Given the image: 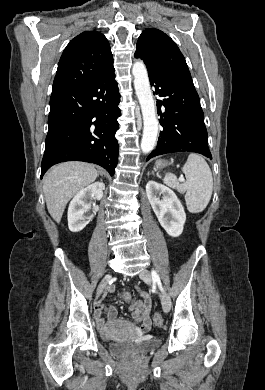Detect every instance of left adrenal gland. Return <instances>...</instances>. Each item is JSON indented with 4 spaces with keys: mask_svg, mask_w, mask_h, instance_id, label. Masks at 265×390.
<instances>
[{
    "mask_svg": "<svg viewBox=\"0 0 265 390\" xmlns=\"http://www.w3.org/2000/svg\"><path fill=\"white\" fill-rule=\"evenodd\" d=\"M149 174H150V173L148 172V175H149ZM151 174H153V175H154V172L152 171V172H151Z\"/></svg>",
    "mask_w": 265,
    "mask_h": 390,
    "instance_id": "left-adrenal-gland-1",
    "label": "left adrenal gland"
}]
</instances>
